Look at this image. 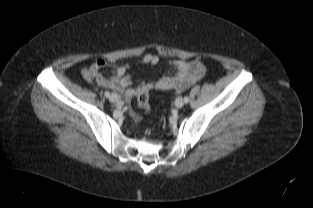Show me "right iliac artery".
I'll return each mask as SVG.
<instances>
[{
    "mask_svg": "<svg viewBox=\"0 0 313 208\" xmlns=\"http://www.w3.org/2000/svg\"><path fill=\"white\" fill-rule=\"evenodd\" d=\"M106 97H110V93L108 91L105 92Z\"/></svg>",
    "mask_w": 313,
    "mask_h": 208,
    "instance_id": "right-iliac-artery-1",
    "label": "right iliac artery"
}]
</instances>
